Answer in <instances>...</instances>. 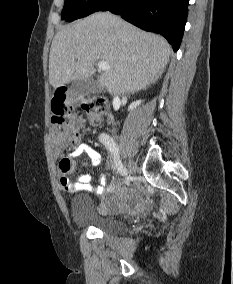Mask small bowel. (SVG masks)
Returning <instances> with one entry per match:
<instances>
[{"instance_id":"c3829d8e","label":"small bowel","mask_w":233,"mask_h":284,"mask_svg":"<svg viewBox=\"0 0 233 284\" xmlns=\"http://www.w3.org/2000/svg\"><path fill=\"white\" fill-rule=\"evenodd\" d=\"M63 134H58L59 139H63ZM85 153L91 165L97 166L101 162V156L97 150L87 144L79 145L72 155L68 159H73L81 154ZM92 175L85 174L79 177L77 182H70L65 176L60 177V185L67 192H76L80 190L91 191L96 194H103L101 201V211L103 213H108L114 211L116 208L120 207L122 202L114 199L111 194L115 192L117 186L113 179L110 181L105 175H99V185L93 186L91 184Z\"/></svg>"}]
</instances>
